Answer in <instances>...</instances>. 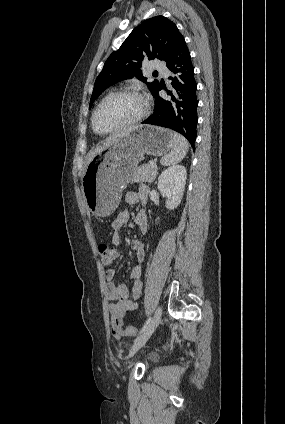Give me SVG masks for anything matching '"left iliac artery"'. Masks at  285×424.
Here are the masks:
<instances>
[{"label": "left iliac artery", "instance_id": "left-iliac-artery-1", "mask_svg": "<svg viewBox=\"0 0 285 424\" xmlns=\"http://www.w3.org/2000/svg\"><path fill=\"white\" fill-rule=\"evenodd\" d=\"M151 321H152V318L151 317H149L148 319H147V321L145 322V324L143 325V327H142V329H141V331H140V334L141 333H143L148 327H149V325H150V323H151Z\"/></svg>", "mask_w": 285, "mask_h": 424}]
</instances>
